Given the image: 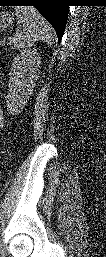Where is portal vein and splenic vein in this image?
Instances as JSON below:
<instances>
[{"instance_id": "portal-vein-and-splenic-vein-1", "label": "portal vein and splenic vein", "mask_w": 106, "mask_h": 257, "mask_svg": "<svg viewBox=\"0 0 106 257\" xmlns=\"http://www.w3.org/2000/svg\"><path fill=\"white\" fill-rule=\"evenodd\" d=\"M18 34H19V33H18V31H17L16 34H15V36H18Z\"/></svg>"}]
</instances>
